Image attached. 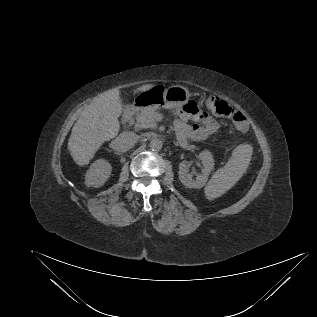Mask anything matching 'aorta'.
<instances>
[{"label":"aorta","mask_w":317,"mask_h":317,"mask_svg":"<svg viewBox=\"0 0 317 317\" xmlns=\"http://www.w3.org/2000/svg\"><path fill=\"white\" fill-rule=\"evenodd\" d=\"M162 147H163V143H162V141L160 139L155 138V139H152L150 141L151 150L160 151L162 149Z\"/></svg>","instance_id":"obj_1"}]
</instances>
